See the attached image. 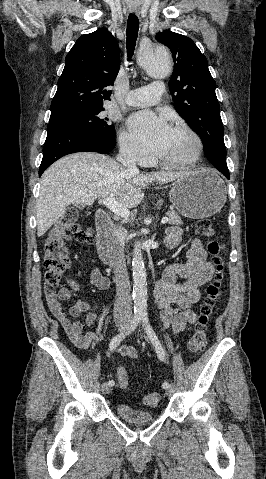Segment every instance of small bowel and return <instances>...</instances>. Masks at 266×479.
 Returning a JSON list of instances; mask_svg holds the SVG:
<instances>
[{"mask_svg": "<svg viewBox=\"0 0 266 479\" xmlns=\"http://www.w3.org/2000/svg\"><path fill=\"white\" fill-rule=\"evenodd\" d=\"M181 229L171 227L165 238L168 248H175L181 242ZM214 275V267L198 239L192 241L185 263L169 265L163 272L154 289L155 304L160 310L163 329L171 328L174 334H179L185 328L196 322V305L201 299L200 287L210 281ZM184 278L185 281H180ZM91 283L100 290L108 289L110 280L104 276L97 266L90 272ZM78 286L68 281V286L59 290L48 291L45 289V298L50 312L60 322L71 342L80 349H88L100 341V336L94 332H84V327H90L99 318L97 307L80 299L69 310L62 306V301L70 298L72 291H77ZM85 314L84 322L77 320ZM117 353L129 358H137L138 352L130 346L117 348Z\"/></svg>", "mask_w": 266, "mask_h": 479, "instance_id": "small-bowel-1", "label": "small bowel"}]
</instances>
